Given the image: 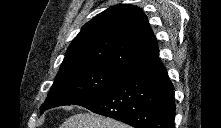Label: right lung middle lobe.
Instances as JSON below:
<instances>
[{
  "label": "right lung middle lobe",
  "mask_w": 221,
  "mask_h": 128,
  "mask_svg": "<svg viewBox=\"0 0 221 128\" xmlns=\"http://www.w3.org/2000/svg\"><path fill=\"white\" fill-rule=\"evenodd\" d=\"M124 75L97 67H81L59 71L47 100L40 107L44 110L77 104L110 88Z\"/></svg>",
  "instance_id": "obj_1"
}]
</instances>
